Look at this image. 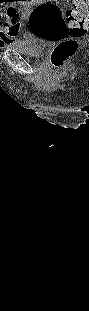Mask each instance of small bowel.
<instances>
[{
	"instance_id": "obj_1",
	"label": "small bowel",
	"mask_w": 89,
	"mask_h": 311,
	"mask_svg": "<svg viewBox=\"0 0 89 311\" xmlns=\"http://www.w3.org/2000/svg\"><path fill=\"white\" fill-rule=\"evenodd\" d=\"M18 32L19 27H17L16 29L6 30V32H4L2 36V39L4 41L3 46H6L11 41H14L17 38Z\"/></svg>"
}]
</instances>
